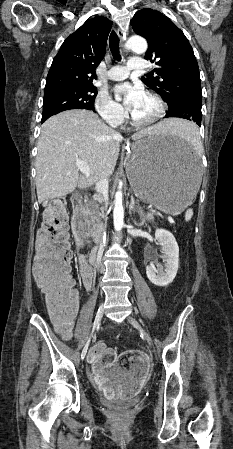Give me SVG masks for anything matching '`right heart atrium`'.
Here are the masks:
<instances>
[{
  "label": "right heart atrium",
  "mask_w": 233,
  "mask_h": 449,
  "mask_svg": "<svg viewBox=\"0 0 233 449\" xmlns=\"http://www.w3.org/2000/svg\"><path fill=\"white\" fill-rule=\"evenodd\" d=\"M94 106L100 117L111 126L120 125L126 118L124 108L104 91L97 94Z\"/></svg>",
  "instance_id": "1"
}]
</instances>
